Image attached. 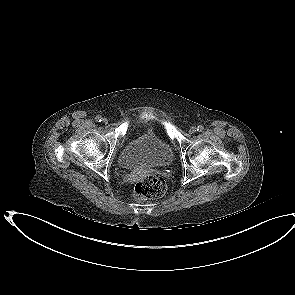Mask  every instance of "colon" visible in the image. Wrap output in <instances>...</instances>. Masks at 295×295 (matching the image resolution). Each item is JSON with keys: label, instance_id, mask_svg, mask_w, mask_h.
<instances>
[{"label": "colon", "instance_id": "colon-1", "mask_svg": "<svg viewBox=\"0 0 295 295\" xmlns=\"http://www.w3.org/2000/svg\"><path fill=\"white\" fill-rule=\"evenodd\" d=\"M166 192L165 180L158 175H147L137 183L134 195L138 200L156 199Z\"/></svg>", "mask_w": 295, "mask_h": 295}]
</instances>
